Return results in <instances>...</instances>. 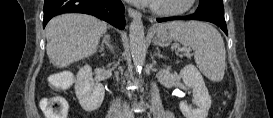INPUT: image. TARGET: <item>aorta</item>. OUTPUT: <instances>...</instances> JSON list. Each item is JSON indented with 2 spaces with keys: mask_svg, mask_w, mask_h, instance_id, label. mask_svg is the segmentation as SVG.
<instances>
[{
  "mask_svg": "<svg viewBox=\"0 0 273 118\" xmlns=\"http://www.w3.org/2000/svg\"><path fill=\"white\" fill-rule=\"evenodd\" d=\"M130 51L136 70L140 71L145 63L147 44L144 35V26L140 18H135L130 24Z\"/></svg>",
  "mask_w": 273,
  "mask_h": 118,
  "instance_id": "obj_1",
  "label": "aorta"
}]
</instances>
